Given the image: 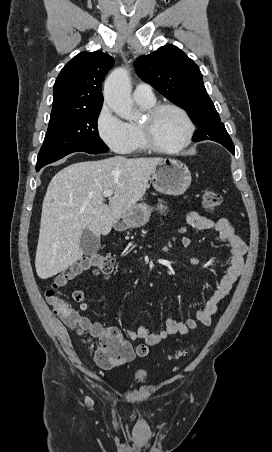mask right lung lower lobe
<instances>
[{
	"mask_svg": "<svg viewBox=\"0 0 272 452\" xmlns=\"http://www.w3.org/2000/svg\"><path fill=\"white\" fill-rule=\"evenodd\" d=\"M78 151L86 152V151H84V150L78 149V150L70 151V152H68V153H66V154H63V155H61V156H58V157H51V158H47V159H43V160H38V161H37V164H36V171H39L43 166H45V165H47V164H49V163L55 162V161H57V160L63 158L64 156H66V155H68V154H70V153L78 152ZM87 153H89V152H87ZM90 154H92V153H90Z\"/></svg>",
	"mask_w": 272,
	"mask_h": 452,
	"instance_id": "obj_1",
	"label": "right lung lower lobe"
}]
</instances>
